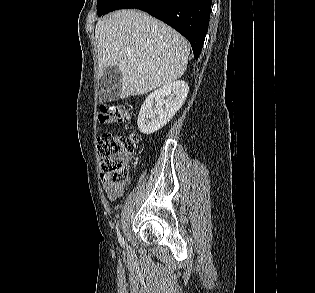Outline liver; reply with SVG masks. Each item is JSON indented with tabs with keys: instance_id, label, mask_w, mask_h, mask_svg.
Masks as SVG:
<instances>
[{
	"instance_id": "obj_1",
	"label": "liver",
	"mask_w": 315,
	"mask_h": 293,
	"mask_svg": "<svg viewBox=\"0 0 315 293\" xmlns=\"http://www.w3.org/2000/svg\"><path fill=\"white\" fill-rule=\"evenodd\" d=\"M95 39L99 76L109 66L121 71V99L172 83L187 67L188 41L142 11L123 9L100 19Z\"/></svg>"
}]
</instances>
